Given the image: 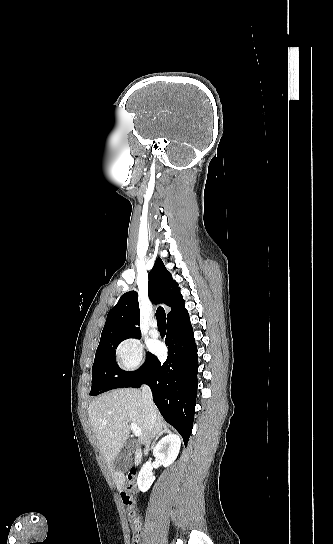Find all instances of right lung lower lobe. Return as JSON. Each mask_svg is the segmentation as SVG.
Here are the masks:
<instances>
[{"label":"right lung lower lobe","instance_id":"obj_1","mask_svg":"<svg viewBox=\"0 0 333 544\" xmlns=\"http://www.w3.org/2000/svg\"><path fill=\"white\" fill-rule=\"evenodd\" d=\"M167 360L162 364L155 355L148 359L140 380L129 387L150 386L153 400L163 418L189 440L197 396L198 356L189 314L167 320Z\"/></svg>","mask_w":333,"mask_h":544}]
</instances>
